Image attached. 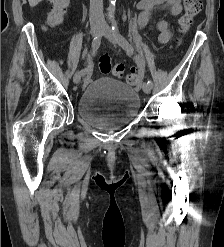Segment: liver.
<instances>
[{"instance_id":"1","label":"liver","mask_w":224,"mask_h":247,"mask_svg":"<svg viewBox=\"0 0 224 247\" xmlns=\"http://www.w3.org/2000/svg\"><path fill=\"white\" fill-rule=\"evenodd\" d=\"M29 2V6H31V8H34V6H37V4H39V2H42V0H28Z\"/></svg>"}]
</instances>
